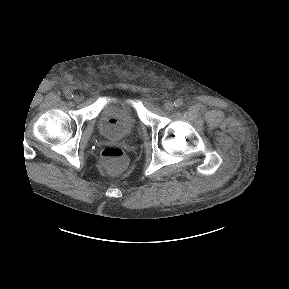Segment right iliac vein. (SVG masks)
Here are the masks:
<instances>
[{
	"mask_svg": "<svg viewBox=\"0 0 289 289\" xmlns=\"http://www.w3.org/2000/svg\"><path fill=\"white\" fill-rule=\"evenodd\" d=\"M81 100V97L79 95L74 96V101L79 102Z\"/></svg>",
	"mask_w": 289,
	"mask_h": 289,
	"instance_id": "63e3f726",
	"label": "right iliac vein"
}]
</instances>
